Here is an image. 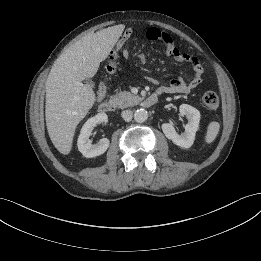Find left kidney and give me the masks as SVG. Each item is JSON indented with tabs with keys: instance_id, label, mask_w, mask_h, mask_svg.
<instances>
[{
	"instance_id": "5707ae66",
	"label": "left kidney",
	"mask_w": 261,
	"mask_h": 261,
	"mask_svg": "<svg viewBox=\"0 0 261 261\" xmlns=\"http://www.w3.org/2000/svg\"><path fill=\"white\" fill-rule=\"evenodd\" d=\"M180 114L186 116L188 123L185 126V132L179 135L172 124L164 123L162 124V131L165 136L171 140L177 146L182 148H190L195 140V134L199 127L200 122V112L188 105L182 104L179 107Z\"/></svg>"
}]
</instances>
